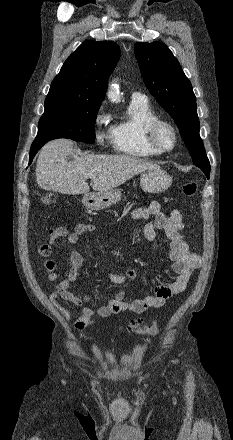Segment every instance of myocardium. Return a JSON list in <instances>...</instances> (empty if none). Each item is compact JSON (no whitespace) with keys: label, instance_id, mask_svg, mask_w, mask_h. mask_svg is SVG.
Segmentation results:
<instances>
[{"label":"myocardium","instance_id":"1","mask_svg":"<svg viewBox=\"0 0 233 440\" xmlns=\"http://www.w3.org/2000/svg\"><path fill=\"white\" fill-rule=\"evenodd\" d=\"M167 127L173 135V144L171 147L166 148L159 144L157 140V134L160 128ZM144 139L147 145L155 150L156 152L162 154L167 153L175 149L178 143V132L175 126L168 120L156 117L150 120L144 127Z\"/></svg>","mask_w":233,"mask_h":440}]
</instances>
